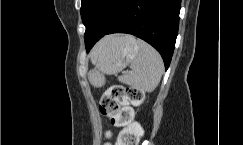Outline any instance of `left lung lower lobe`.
I'll list each match as a JSON object with an SVG mask.
<instances>
[{
  "instance_id": "1",
  "label": "left lung lower lobe",
  "mask_w": 243,
  "mask_h": 145,
  "mask_svg": "<svg viewBox=\"0 0 243 145\" xmlns=\"http://www.w3.org/2000/svg\"><path fill=\"white\" fill-rule=\"evenodd\" d=\"M181 0H126L115 19L103 25L94 21L86 25L87 52L104 35L128 33L151 44L162 56L167 69L178 34Z\"/></svg>"
}]
</instances>
